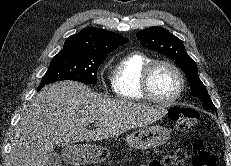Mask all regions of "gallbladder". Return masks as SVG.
I'll return each mask as SVG.
<instances>
[{"label":"gallbladder","mask_w":231,"mask_h":166,"mask_svg":"<svg viewBox=\"0 0 231 166\" xmlns=\"http://www.w3.org/2000/svg\"><path fill=\"white\" fill-rule=\"evenodd\" d=\"M61 161L59 155H53L49 161L47 162L46 166H61Z\"/></svg>","instance_id":"bac80fb5"}]
</instances>
